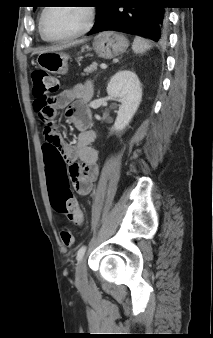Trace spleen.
<instances>
[{
  "instance_id": "1",
  "label": "spleen",
  "mask_w": 213,
  "mask_h": 338,
  "mask_svg": "<svg viewBox=\"0 0 213 338\" xmlns=\"http://www.w3.org/2000/svg\"><path fill=\"white\" fill-rule=\"evenodd\" d=\"M152 45L150 42L144 38L136 36L132 44V50L135 54H143L146 51L150 50Z\"/></svg>"
}]
</instances>
